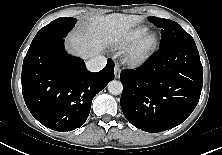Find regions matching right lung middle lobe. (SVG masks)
Segmentation results:
<instances>
[{
    "mask_svg": "<svg viewBox=\"0 0 222 155\" xmlns=\"http://www.w3.org/2000/svg\"><path fill=\"white\" fill-rule=\"evenodd\" d=\"M77 20L71 17H60L41 28L34 37L27 53L32 52L46 42L58 38H64L75 26Z\"/></svg>",
    "mask_w": 222,
    "mask_h": 155,
    "instance_id": "obj_1",
    "label": "right lung middle lobe"
}]
</instances>
